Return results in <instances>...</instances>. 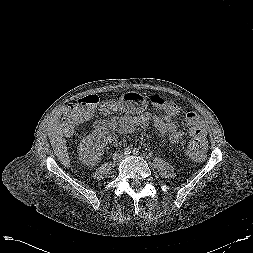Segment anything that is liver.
<instances>
[{"mask_svg": "<svg viewBox=\"0 0 253 253\" xmlns=\"http://www.w3.org/2000/svg\"><path fill=\"white\" fill-rule=\"evenodd\" d=\"M61 116V110H57L55 115L48 124V136L53 147L54 153L58 160L65 166H70V159L67 152L66 140L63 135L59 118Z\"/></svg>", "mask_w": 253, "mask_h": 253, "instance_id": "obj_1", "label": "liver"}]
</instances>
